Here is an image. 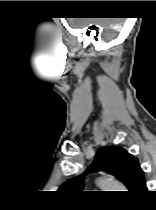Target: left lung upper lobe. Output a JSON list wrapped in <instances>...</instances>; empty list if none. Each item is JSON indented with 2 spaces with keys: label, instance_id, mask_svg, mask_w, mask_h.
<instances>
[{
  "label": "left lung upper lobe",
  "instance_id": "obj_1",
  "mask_svg": "<svg viewBox=\"0 0 156 210\" xmlns=\"http://www.w3.org/2000/svg\"><path fill=\"white\" fill-rule=\"evenodd\" d=\"M105 170L120 180L132 193L146 191L143 170L136 157L122 147H102L96 153L93 163L87 170L62 184L58 191L62 193L80 192L84 187V177L90 172Z\"/></svg>",
  "mask_w": 156,
  "mask_h": 210
}]
</instances>
